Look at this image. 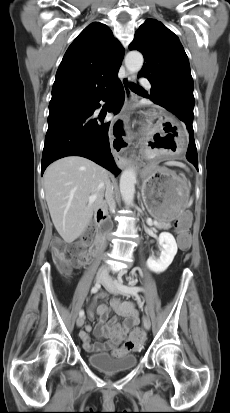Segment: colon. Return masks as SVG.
Here are the masks:
<instances>
[{"mask_svg": "<svg viewBox=\"0 0 230 413\" xmlns=\"http://www.w3.org/2000/svg\"><path fill=\"white\" fill-rule=\"evenodd\" d=\"M189 217L187 214L181 215L176 222V228L180 234L179 236V250L181 252H188L192 246V241L188 237ZM91 241V235L83 237V239L70 248L71 258L66 255V245L62 241L55 240L51 246V255L58 270L68 275L74 265V262L83 261L87 258V247ZM142 344V332L135 330L129 340L127 341V348L129 350L139 349Z\"/></svg>", "mask_w": 230, "mask_h": 413, "instance_id": "colon-1", "label": "colon"}]
</instances>
